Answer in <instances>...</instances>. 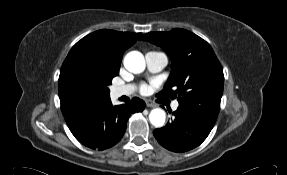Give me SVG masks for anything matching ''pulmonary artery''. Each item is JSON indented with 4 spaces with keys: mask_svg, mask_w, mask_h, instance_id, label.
<instances>
[{
    "mask_svg": "<svg viewBox=\"0 0 287 175\" xmlns=\"http://www.w3.org/2000/svg\"><path fill=\"white\" fill-rule=\"evenodd\" d=\"M147 67L150 72L156 73L161 71L168 63V58L165 53L160 51H150L145 55ZM135 91V85H122L116 86L112 89V95L115 98L130 95ZM179 106L178 102H174L172 105L173 110H176Z\"/></svg>",
    "mask_w": 287,
    "mask_h": 175,
    "instance_id": "pulmonary-artery-1",
    "label": "pulmonary artery"
}]
</instances>
